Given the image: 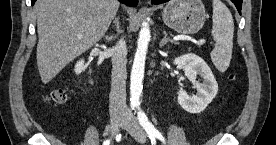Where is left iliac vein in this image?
I'll return each instance as SVG.
<instances>
[{"label": "left iliac vein", "mask_w": 276, "mask_h": 145, "mask_svg": "<svg viewBox=\"0 0 276 145\" xmlns=\"http://www.w3.org/2000/svg\"><path fill=\"white\" fill-rule=\"evenodd\" d=\"M122 128L126 129L136 141L141 143L146 141L145 132L135 116L128 115L122 123Z\"/></svg>", "instance_id": "left-iliac-vein-1"}]
</instances>
